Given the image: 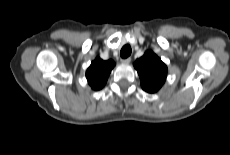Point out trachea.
I'll use <instances>...</instances> for the list:
<instances>
[{
    "instance_id": "obj_1",
    "label": "trachea",
    "mask_w": 230,
    "mask_h": 155,
    "mask_svg": "<svg viewBox=\"0 0 230 155\" xmlns=\"http://www.w3.org/2000/svg\"><path fill=\"white\" fill-rule=\"evenodd\" d=\"M131 47H130V45H124L123 47H122V49H121V51H120V56L122 57V58H127V57H129L130 56V54H131Z\"/></svg>"
}]
</instances>
